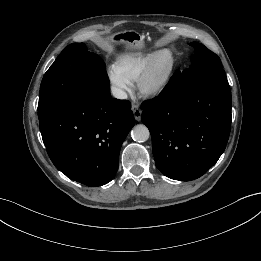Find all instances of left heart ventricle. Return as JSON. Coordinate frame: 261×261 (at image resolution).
Returning <instances> with one entry per match:
<instances>
[{"mask_svg": "<svg viewBox=\"0 0 261 261\" xmlns=\"http://www.w3.org/2000/svg\"><path fill=\"white\" fill-rule=\"evenodd\" d=\"M170 58L168 54H163L155 65V74L160 75L162 74L169 66Z\"/></svg>", "mask_w": 261, "mask_h": 261, "instance_id": "obj_1", "label": "left heart ventricle"}]
</instances>
